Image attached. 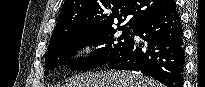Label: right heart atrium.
Wrapping results in <instances>:
<instances>
[{"mask_svg": "<svg viewBox=\"0 0 205 87\" xmlns=\"http://www.w3.org/2000/svg\"><path fill=\"white\" fill-rule=\"evenodd\" d=\"M95 52H96L95 45L89 42L80 45L77 49V53L79 54V56L83 58H89L93 56Z\"/></svg>", "mask_w": 205, "mask_h": 87, "instance_id": "1", "label": "right heart atrium"}]
</instances>
